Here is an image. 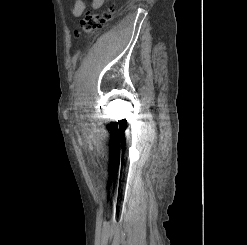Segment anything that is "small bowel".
Wrapping results in <instances>:
<instances>
[{
	"mask_svg": "<svg viewBox=\"0 0 247 245\" xmlns=\"http://www.w3.org/2000/svg\"><path fill=\"white\" fill-rule=\"evenodd\" d=\"M105 0H91V5L93 9H99L104 4ZM86 9L85 2L83 0H74L72 6V14L74 17H80Z\"/></svg>",
	"mask_w": 247,
	"mask_h": 245,
	"instance_id": "c3829d8e",
	"label": "small bowel"
}]
</instances>
